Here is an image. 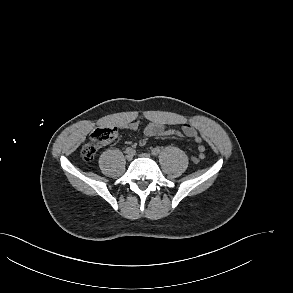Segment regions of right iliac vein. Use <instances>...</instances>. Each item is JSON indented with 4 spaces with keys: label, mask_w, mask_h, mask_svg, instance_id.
<instances>
[{
    "label": "right iliac vein",
    "mask_w": 293,
    "mask_h": 293,
    "mask_svg": "<svg viewBox=\"0 0 293 293\" xmlns=\"http://www.w3.org/2000/svg\"><path fill=\"white\" fill-rule=\"evenodd\" d=\"M133 156H134V153H128V154L126 155V159H127L128 161H131V160L133 159Z\"/></svg>",
    "instance_id": "right-iliac-vein-1"
}]
</instances>
